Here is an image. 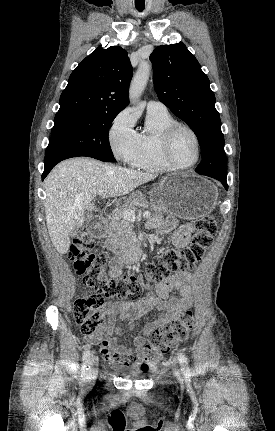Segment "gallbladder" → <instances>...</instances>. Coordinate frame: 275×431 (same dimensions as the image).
Returning <instances> with one entry per match:
<instances>
[{"instance_id": "bac80fb5", "label": "gallbladder", "mask_w": 275, "mask_h": 431, "mask_svg": "<svg viewBox=\"0 0 275 431\" xmlns=\"http://www.w3.org/2000/svg\"><path fill=\"white\" fill-rule=\"evenodd\" d=\"M71 234H72V235H76V234H77V231L75 230V231H73Z\"/></svg>"}]
</instances>
